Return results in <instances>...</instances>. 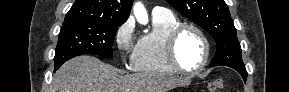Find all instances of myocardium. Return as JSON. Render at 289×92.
Listing matches in <instances>:
<instances>
[{
    "label": "myocardium",
    "instance_id": "myocardium-1",
    "mask_svg": "<svg viewBox=\"0 0 289 92\" xmlns=\"http://www.w3.org/2000/svg\"><path fill=\"white\" fill-rule=\"evenodd\" d=\"M186 30H192L195 33L199 35V37L202 39L203 44H204V57L202 60V63L200 64L199 67L193 70H187L183 68L176 55V47H177V42L180 38V36L186 31ZM210 42L206 34L202 29H200L198 26L189 24V23H180L179 25L175 26L170 30L168 33L166 40H165V54L168 63L170 66L179 73L186 74V75H195L200 72H202L205 67L208 64L209 58H210Z\"/></svg>",
    "mask_w": 289,
    "mask_h": 92
}]
</instances>
